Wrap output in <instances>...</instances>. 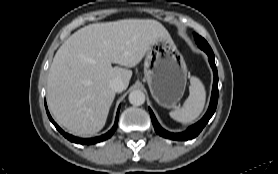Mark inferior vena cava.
<instances>
[{"mask_svg": "<svg viewBox=\"0 0 278 174\" xmlns=\"http://www.w3.org/2000/svg\"><path fill=\"white\" fill-rule=\"evenodd\" d=\"M110 88L115 92H122L124 90V83L121 79L115 78L110 82Z\"/></svg>", "mask_w": 278, "mask_h": 174, "instance_id": "602c4592", "label": "inferior vena cava"}]
</instances>
